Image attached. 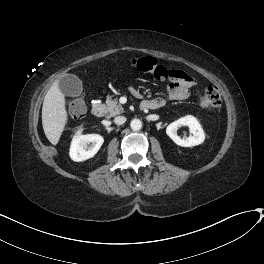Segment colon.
Returning a JSON list of instances; mask_svg holds the SVG:
<instances>
[{"mask_svg": "<svg viewBox=\"0 0 264 264\" xmlns=\"http://www.w3.org/2000/svg\"><path fill=\"white\" fill-rule=\"evenodd\" d=\"M132 66L139 71L153 75L155 78L165 80L172 77V71L168 70L157 59L146 57L132 61ZM193 95L199 99L204 106L219 108L222 104L219 90L211 84L205 86L204 90H193ZM85 112V103L82 98H77L68 104V113L74 119H79Z\"/></svg>", "mask_w": 264, "mask_h": 264, "instance_id": "colon-1", "label": "colon"}]
</instances>
